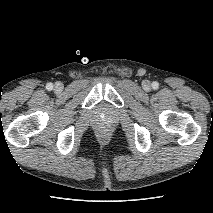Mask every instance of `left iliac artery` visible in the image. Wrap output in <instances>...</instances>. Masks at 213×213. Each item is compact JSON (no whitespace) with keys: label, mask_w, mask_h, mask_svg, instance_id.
<instances>
[{"label":"left iliac artery","mask_w":213,"mask_h":213,"mask_svg":"<svg viewBox=\"0 0 213 213\" xmlns=\"http://www.w3.org/2000/svg\"><path fill=\"white\" fill-rule=\"evenodd\" d=\"M158 87H159V83L156 82V81H154V82L152 83V88H153V89H158Z\"/></svg>","instance_id":"obj_1"}]
</instances>
